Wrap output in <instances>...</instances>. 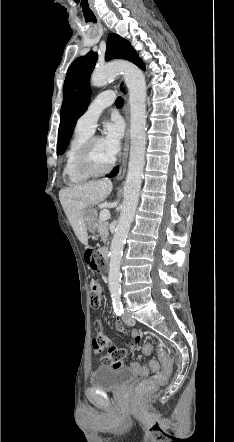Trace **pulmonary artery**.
Instances as JSON below:
<instances>
[{"label": "pulmonary artery", "mask_w": 234, "mask_h": 442, "mask_svg": "<svg viewBox=\"0 0 234 442\" xmlns=\"http://www.w3.org/2000/svg\"><path fill=\"white\" fill-rule=\"evenodd\" d=\"M114 101L112 92L105 91L98 94L89 104L85 112L78 118L75 129L92 134L96 122L102 111Z\"/></svg>", "instance_id": "obj_1"}]
</instances>
